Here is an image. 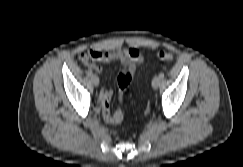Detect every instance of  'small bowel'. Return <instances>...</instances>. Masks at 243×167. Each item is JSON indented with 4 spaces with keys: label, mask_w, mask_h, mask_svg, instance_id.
I'll list each match as a JSON object with an SVG mask.
<instances>
[{
    "label": "small bowel",
    "mask_w": 243,
    "mask_h": 167,
    "mask_svg": "<svg viewBox=\"0 0 243 167\" xmlns=\"http://www.w3.org/2000/svg\"><path fill=\"white\" fill-rule=\"evenodd\" d=\"M79 59L82 64L89 70H93L96 73H100L101 69L97 65L99 62L110 63L114 61H120L122 70H129L132 73L135 72L138 65L143 62L144 53L142 50L136 47L118 48L113 50H99L94 49L88 52H83L79 55ZM113 92L108 88H102L99 93V100L101 105V113L106 123H117L122 118L120 110L112 113L110 110V101L112 99Z\"/></svg>",
    "instance_id": "1"
}]
</instances>
